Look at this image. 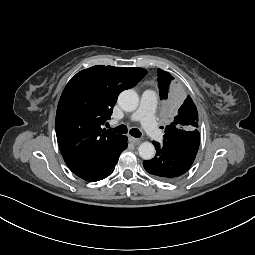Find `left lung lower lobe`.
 <instances>
[{
	"label": "left lung lower lobe",
	"instance_id": "obj_1",
	"mask_svg": "<svg viewBox=\"0 0 255 255\" xmlns=\"http://www.w3.org/2000/svg\"><path fill=\"white\" fill-rule=\"evenodd\" d=\"M200 143V135L178 140L153 141L156 155L143 162L145 170L162 181H173L185 174L191 167Z\"/></svg>",
	"mask_w": 255,
	"mask_h": 255
}]
</instances>
